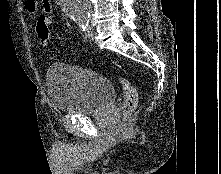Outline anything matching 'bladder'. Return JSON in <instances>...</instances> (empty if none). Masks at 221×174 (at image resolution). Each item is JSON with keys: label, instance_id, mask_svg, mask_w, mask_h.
<instances>
[{"label": "bladder", "instance_id": "1", "mask_svg": "<svg viewBox=\"0 0 221 174\" xmlns=\"http://www.w3.org/2000/svg\"><path fill=\"white\" fill-rule=\"evenodd\" d=\"M46 86L54 107L67 114H99L115 100V88L108 78L91 69L70 64L51 65Z\"/></svg>", "mask_w": 221, "mask_h": 174}]
</instances>
